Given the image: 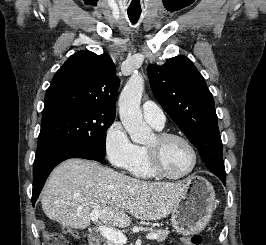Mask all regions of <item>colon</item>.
I'll return each instance as SVG.
<instances>
[{
    "instance_id": "5ec220e1",
    "label": "colon",
    "mask_w": 266,
    "mask_h": 245,
    "mask_svg": "<svg viewBox=\"0 0 266 245\" xmlns=\"http://www.w3.org/2000/svg\"><path fill=\"white\" fill-rule=\"evenodd\" d=\"M44 234L47 245H68V242L61 234L52 232L50 230H45ZM190 243L191 245H202L203 238L200 234H194L190 240Z\"/></svg>"
}]
</instances>
